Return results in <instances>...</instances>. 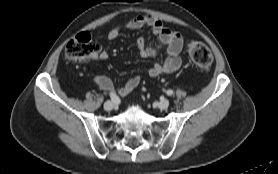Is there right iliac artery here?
Returning a JSON list of instances; mask_svg holds the SVG:
<instances>
[{
    "label": "right iliac artery",
    "mask_w": 278,
    "mask_h": 174,
    "mask_svg": "<svg viewBox=\"0 0 278 174\" xmlns=\"http://www.w3.org/2000/svg\"><path fill=\"white\" fill-rule=\"evenodd\" d=\"M110 97H111V100L114 104H119L120 103V99L116 94L110 93Z\"/></svg>",
    "instance_id": "1"
}]
</instances>
